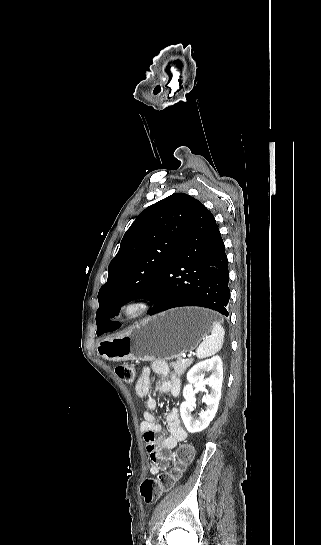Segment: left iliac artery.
<instances>
[{
  "label": "left iliac artery",
  "mask_w": 321,
  "mask_h": 545,
  "mask_svg": "<svg viewBox=\"0 0 321 545\" xmlns=\"http://www.w3.org/2000/svg\"><path fill=\"white\" fill-rule=\"evenodd\" d=\"M146 545H151L150 542H149V540L146 542Z\"/></svg>",
  "instance_id": "44dca946"
}]
</instances>
